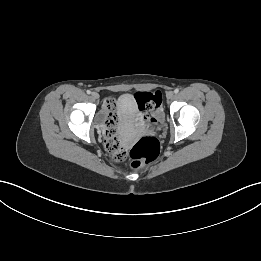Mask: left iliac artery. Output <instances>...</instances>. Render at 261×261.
Listing matches in <instances>:
<instances>
[{
  "mask_svg": "<svg viewBox=\"0 0 261 261\" xmlns=\"http://www.w3.org/2000/svg\"><path fill=\"white\" fill-rule=\"evenodd\" d=\"M179 92V89H175L174 93L177 94Z\"/></svg>",
  "mask_w": 261,
  "mask_h": 261,
  "instance_id": "44dca946",
  "label": "left iliac artery"
}]
</instances>
